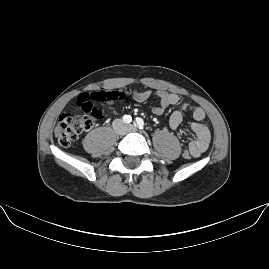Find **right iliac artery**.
I'll use <instances>...</instances> for the list:
<instances>
[{"label": "right iliac artery", "instance_id": "right-iliac-artery-1", "mask_svg": "<svg viewBox=\"0 0 269 269\" xmlns=\"http://www.w3.org/2000/svg\"><path fill=\"white\" fill-rule=\"evenodd\" d=\"M123 121L125 123H130L132 121V117L130 115H124L123 116Z\"/></svg>", "mask_w": 269, "mask_h": 269}]
</instances>
